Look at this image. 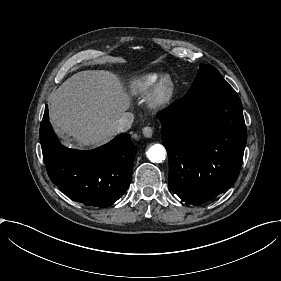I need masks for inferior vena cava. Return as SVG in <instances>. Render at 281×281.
Listing matches in <instances>:
<instances>
[{
	"label": "inferior vena cava",
	"mask_w": 281,
	"mask_h": 281,
	"mask_svg": "<svg viewBox=\"0 0 281 281\" xmlns=\"http://www.w3.org/2000/svg\"><path fill=\"white\" fill-rule=\"evenodd\" d=\"M132 121L133 114L127 112L123 117L115 122V127L119 133L126 132L130 129Z\"/></svg>",
	"instance_id": "obj_1"
}]
</instances>
